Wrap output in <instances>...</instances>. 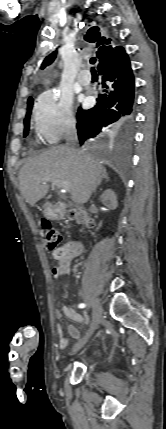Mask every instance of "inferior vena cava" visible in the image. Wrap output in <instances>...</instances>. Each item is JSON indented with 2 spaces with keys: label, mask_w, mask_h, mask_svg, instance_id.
Masks as SVG:
<instances>
[{
  "label": "inferior vena cava",
  "mask_w": 166,
  "mask_h": 429,
  "mask_svg": "<svg viewBox=\"0 0 166 429\" xmlns=\"http://www.w3.org/2000/svg\"><path fill=\"white\" fill-rule=\"evenodd\" d=\"M66 140H67V145L68 146L73 147V148L75 147V145L77 143V140H78L75 127H72V128L69 129V131L67 133Z\"/></svg>",
  "instance_id": "obj_1"
}]
</instances>
